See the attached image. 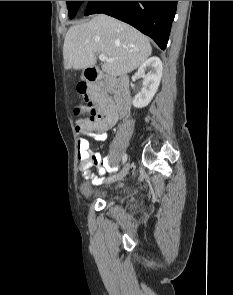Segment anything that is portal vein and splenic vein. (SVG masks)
<instances>
[{"mask_svg": "<svg viewBox=\"0 0 233 295\" xmlns=\"http://www.w3.org/2000/svg\"><path fill=\"white\" fill-rule=\"evenodd\" d=\"M99 59L103 62H111L114 61V59L112 58H108L105 54H100L99 55Z\"/></svg>", "mask_w": 233, "mask_h": 295, "instance_id": "1", "label": "portal vein and splenic vein"}]
</instances>
